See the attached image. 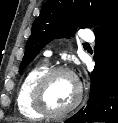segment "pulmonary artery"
I'll return each mask as SVG.
<instances>
[{
    "label": "pulmonary artery",
    "instance_id": "obj_1",
    "mask_svg": "<svg viewBox=\"0 0 118 123\" xmlns=\"http://www.w3.org/2000/svg\"><path fill=\"white\" fill-rule=\"evenodd\" d=\"M81 38L84 41H91L93 39V35L91 34V32L89 30H84V32L81 34ZM45 56L49 57L51 56V51L47 50L45 51Z\"/></svg>",
    "mask_w": 118,
    "mask_h": 123
}]
</instances>
